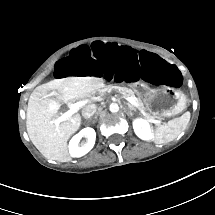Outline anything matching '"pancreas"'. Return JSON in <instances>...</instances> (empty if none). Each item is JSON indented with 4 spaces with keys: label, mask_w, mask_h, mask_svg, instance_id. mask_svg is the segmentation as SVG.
<instances>
[{
    "label": "pancreas",
    "mask_w": 215,
    "mask_h": 215,
    "mask_svg": "<svg viewBox=\"0 0 215 215\" xmlns=\"http://www.w3.org/2000/svg\"><path fill=\"white\" fill-rule=\"evenodd\" d=\"M111 92H119L123 96H134V92L127 87H119L113 84H108L97 90L98 98L102 99L104 95ZM128 106L134 110L138 109L147 120L151 121L155 119L154 116H152L150 113L146 111L141 99H136L134 104H128Z\"/></svg>",
    "instance_id": "1"
}]
</instances>
